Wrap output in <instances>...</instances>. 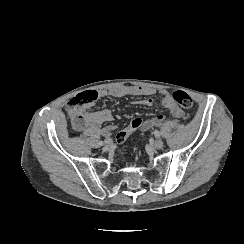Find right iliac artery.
<instances>
[{
  "instance_id": "1",
  "label": "right iliac artery",
  "mask_w": 244,
  "mask_h": 244,
  "mask_svg": "<svg viewBox=\"0 0 244 244\" xmlns=\"http://www.w3.org/2000/svg\"><path fill=\"white\" fill-rule=\"evenodd\" d=\"M103 144H104V143H103L102 141H100V142H99V145H101V146H102Z\"/></svg>"
}]
</instances>
